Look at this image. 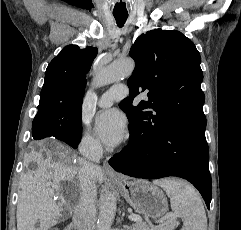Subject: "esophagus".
I'll list each match as a JSON object with an SVG mask.
<instances>
[{
    "label": "esophagus",
    "mask_w": 241,
    "mask_h": 230,
    "mask_svg": "<svg viewBox=\"0 0 241 230\" xmlns=\"http://www.w3.org/2000/svg\"><path fill=\"white\" fill-rule=\"evenodd\" d=\"M108 160H109V158L104 160V162H103V169L105 170V172L108 175L117 176L118 175L117 172H115V170L109 165Z\"/></svg>",
    "instance_id": "34e87169"
}]
</instances>
